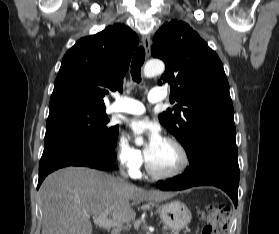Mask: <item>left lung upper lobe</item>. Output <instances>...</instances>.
Instances as JSON below:
<instances>
[{
  "label": "left lung upper lobe",
  "instance_id": "1",
  "mask_svg": "<svg viewBox=\"0 0 279 234\" xmlns=\"http://www.w3.org/2000/svg\"><path fill=\"white\" fill-rule=\"evenodd\" d=\"M151 53L165 62L161 80L172 85L171 101L179 103L160 114L159 121L180 141L189 160L206 138L236 135L222 62L196 31L183 21L165 23L153 38Z\"/></svg>",
  "mask_w": 279,
  "mask_h": 234
}]
</instances>
